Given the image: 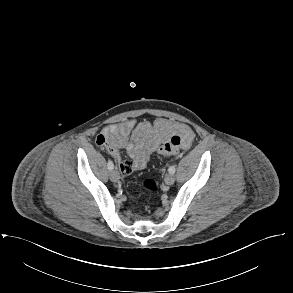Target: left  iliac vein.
<instances>
[{
  "instance_id": "left-iliac-vein-1",
  "label": "left iliac vein",
  "mask_w": 293,
  "mask_h": 293,
  "mask_svg": "<svg viewBox=\"0 0 293 293\" xmlns=\"http://www.w3.org/2000/svg\"><path fill=\"white\" fill-rule=\"evenodd\" d=\"M164 181L167 185H172L175 182V177L173 174H167Z\"/></svg>"
}]
</instances>
